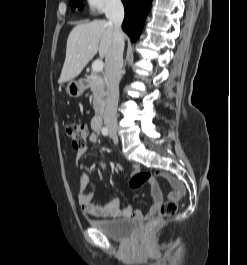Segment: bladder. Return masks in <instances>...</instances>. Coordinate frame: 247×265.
<instances>
[{
    "label": "bladder",
    "mask_w": 247,
    "mask_h": 265,
    "mask_svg": "<svg viewBox=\"0 0 247 265\" xmlns=\"http://www.w3.org/2000/svg\"><path fill=\"white\" fill-rule=\"evenodd\" d=\"M89 225L103 233L108 238L116 241H125L129 239L135 229L134 222L129 219H91L89 220Z\"/></svg>",
    "instance_id": "1"
}]
</instances>
